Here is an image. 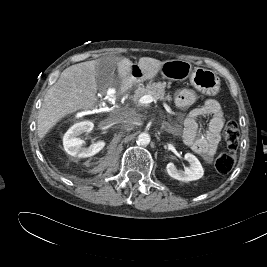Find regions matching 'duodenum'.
Returning <instances> with one entry per match:
<instances>
[{"instance_id":"410a0bca","label":"duodenum","mask_w":267,"mask_h":267,"mask_svg":"<svg viewBox=\"0 0 267 267\" xmlns=\"http://www.w3.org/2000/svg\"><path fill=\"white\" fill-rule=\"evenodd\" d=\"M131 85H132V78L127 79L121 86L122 93L127 92L129 88L131 87Z\"/></svg>"}]
</instances>
